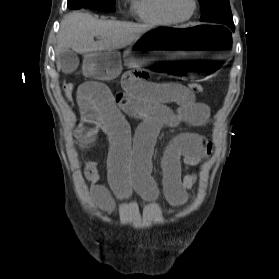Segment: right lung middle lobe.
Segmentation results:
<instances>
[{
	"instance_id": "1",
	"label": "right lung middle lobe",
	"mask_w": 279,
	"mask_h": 279,
	"mask_svg": "<svg viewBox=\"0 0 279 279\" xmlns=\"http://www.w3.org/2000/svg\"><path fill=\"white\" fill-rule=\"evenodd\" d=\"M70 9L90 8L100 11H115V0H68Z\"/></svg>"
}]
</instances>
